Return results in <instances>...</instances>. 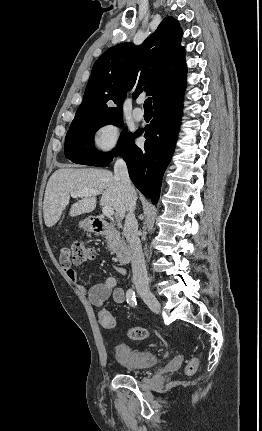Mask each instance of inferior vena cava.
<instances>
[{"mask_svg": "<svg viewBox=\"0 0 262 431\" xmlns=\"http://www.w3.org/2000/svg\"><path fill=\"white\" fill-rule=\"evenodd\" d=\"M114 177L121 183L122 189L127 197L125 224L123 233L132 251V273L136 288L149 290V279L145 266L141 242L138 237V222L134 215L136 207L135 190L131 184L126 162L118 158L114 165Z\"/></svg>", "mask_w": 262, "mask_h": 431, "instance_id": "602c4592", "label": "inferior vena cava"}]
</instances>
